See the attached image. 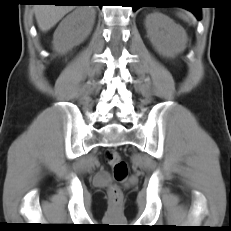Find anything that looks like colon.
I'll use <instances>...</instances> for the list:
<instances>
[{"label":"colon","mask_w":231,"mask_h":231,"mask_svg":"<svg viewBox=\"0 0 231 231\" xmlns=\"http://www.w3.org/2000/svg\"><path fill=\"white\" fill-rule=\"evenodd\" d=\"M106 162L113 170L114 177L117 181H122L128 174V167L121 155L115 150H107L105 154ZM109 196L113 201L121 198V191L117 186L109 189Z\"/></svg>","instance_id":"obj_1"}]
</instances>
